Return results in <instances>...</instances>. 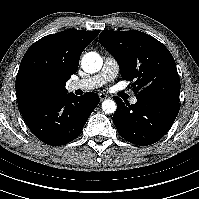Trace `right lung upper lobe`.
I'll list each match as a JSON object with an SVG mask.
<instances>
[{"instance_id": "1", "label": "right lung upper lobe", "mask_w": 199, "mask_h": 199, "mask_svg": "<svg viewBox=\"0 0 199 199\" xmlns=\"http://www.w3.org/2000/svg\"><path fill=\"white\" fill-rule=\"evenodd\" d=\"M99 30H65L45 36L24 54L16 77L19 109L67 94V80Z\"/></svg>"}]
</instances>
